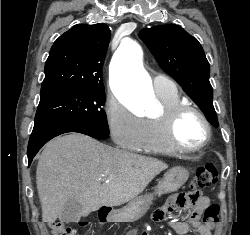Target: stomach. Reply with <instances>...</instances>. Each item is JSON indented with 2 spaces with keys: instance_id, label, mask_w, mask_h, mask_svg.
<instances>
[{
  "instance_id": "stomach-1",
  "label": "stomach",
  "mask_w": 250,
  "mask_h": 235,
  "mask_svg": "<svg viewBox=\"0 0 250 235\" xmlns=\"http://www.w3.org/2000/svg\"><path fill=\"white\" fill-rule=\"evenodd\" d=\"M189 178V172L184 167H174L170 169L157 185L154 194L139 196L129 202L125 207L117 210L111 219L116 222H133L141 218L147 209L154 195L161 196L173 193L185 184Z\"/></svg>"
}]
</instances>
